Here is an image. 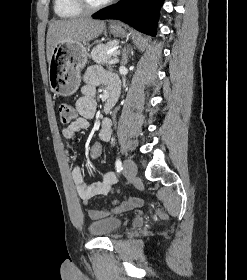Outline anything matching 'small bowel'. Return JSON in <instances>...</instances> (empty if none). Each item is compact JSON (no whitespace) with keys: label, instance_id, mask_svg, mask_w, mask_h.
<instances>
[{"label":"small bowel","instance_id":"1","mask_svg":"<svg viewBox=\"0 0 247 280\" xmlns=\"http://www.w3.org/2000/svg\"><path fill=\"white\" fill-rule=\"evenodd\" d=\"M85 84L81 88L82 96L76 102L78 118L63 130V136L71 140L72 146L66 150L71 167V174L76 186L77 193L86 205L90 200L99 195H108L112 192V187L116 184L117 178L111 171L102 173L100 181L90 183L85 180L82 169L76 158L75 139L77 132L87 129L89 121L96 112V87L102 83L107 84L108 89L119 86L117 78L106 72L99 66H92L84 74ZM99 139L108 142L112 136V122L104 119L99 129ZM142 205V200L137 197L125 198L122 202H116L111 208L90 209L88 215L91 219L97 220L109 216L112 213H122Z\"/></svg>","mask_w":247,"mask_h":280}]
</instances>
